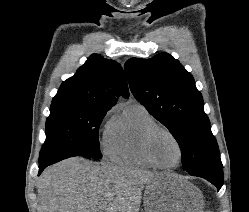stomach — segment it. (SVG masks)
I'll return each instance as SVG.
<instances>
[{
  "label": "stomach",
  "mask_w": 249,
  "mask_h": 212,
  "mask_svg": "<svg viewBox=\"0 0 249 212\" xmlns=\"http://www.w3.org/2000/svg\"><path fill=\"white\" fill-rule=\"evenodd\" d=\"M153 175L147 179L144 194L146 212H202L203 194L180 175Z\"/></svg>",
  "instance_id": "obj_1"
}]
</instances>
